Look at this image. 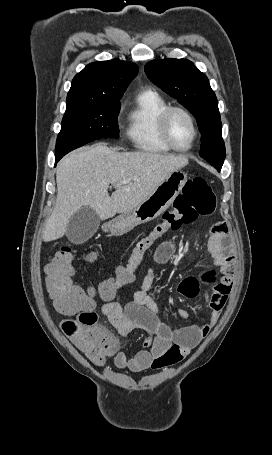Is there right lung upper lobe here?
Returning <instances> with one entry per match:
<instances>
[{"instance_id": "right-lung-upper-lobe-1", "label": "right lung upper lobe", "mask_w": 272, "mask_h": 455, "mask_svg": "<svg viewBox=\"0 0 272 455\" xmlns=\"http://www.w3.org/2000/svg\"><path fill=\"white\" fill-rule=\"evenodd\" d=\"M137 72L138 66L135 63L118 59L90 63L72 80L67 105L120 103Z\"/></svg>"}]
</instances>
